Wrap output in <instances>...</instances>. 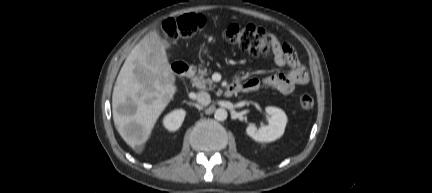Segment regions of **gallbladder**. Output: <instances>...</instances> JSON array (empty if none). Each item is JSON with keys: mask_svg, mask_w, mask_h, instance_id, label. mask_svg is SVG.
Instances as JSON below:
<instances>
[{"mask_svg": "<svg viewBox=\"0 0 432 193\" xmlns=\"http://www.w3.org/2000/svg\"><path fill=\"white\" fill-rule=\"evenodd\" d=\"M162 43L164 44L165 48L170 49L171 48V43L169 41H167L166 39L160 38ZM119 111V108H118Z\"/></svg>", "mask_w": 432, "mask_h": 193, "instance_id": "gallbladder-1", "label": "gallbladder"}]
</instances>
